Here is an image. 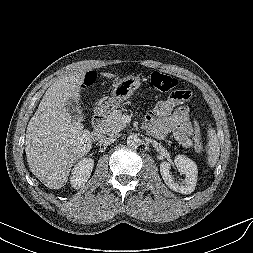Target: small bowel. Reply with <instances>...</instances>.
Segmentation results:
<instances>
[{"label":"small bowel","mask_w":253,"mask_h":253,"mask_svg":"<svg viewBox=\"0 0 253 253\" xmlns=\"http://www.w3.org/2000/svg\"><path fill=\"white\" fill-rule=\"evenodd\" d=\"M183 102V99H175L172 96L159 101L146 117V128L158 139H164L172 133L180 144L191 147L194 145L196 129L188 109L178 107Z\"/></svg>","instance_id":"obj_1"}]
</instances>
